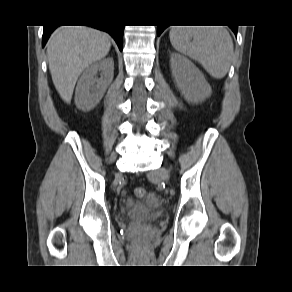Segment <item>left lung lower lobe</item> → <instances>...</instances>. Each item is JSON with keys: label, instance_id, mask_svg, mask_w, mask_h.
<instances>
[{"label": "left lung lower lobe", "instance_id": "1", "mask_svg": "<svg viewBox=\"0 0 292 292\" xmlns=\"http://www.w3.org/2000/svg\"><path fill=\"white\" fill-rule=\"evenodd\" d=\"M166 28V26H158V30H157V35L159 36L163 30ZM231 29L233 30V32L235 33V35L237 36V29H238V26H233L231 27Z\"/></svg>", "mask_w": 292, "mask_h": 292}]
</instances>
